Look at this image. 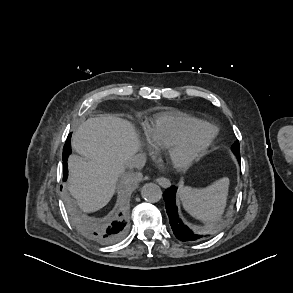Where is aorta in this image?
Listing matches in <instances>:
<instances>
[{"instance_id":"obj_1","label":"aorta","mask_w":293,"mask_h":293,"mask_svg":"<svg viewBox=\"0 0 293 293\" xmlns=\"http://www.w3.org/2000/svg\"><path fill=\"white\" fill-rule=\"evenodd\" d=\"M141 195L146 201L155 203L162 198V191L157 184L147 183L142 187Z\"/></svg>"}]
</instances>
